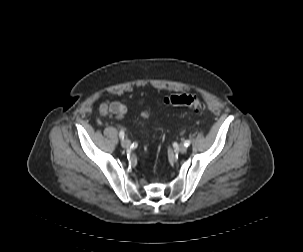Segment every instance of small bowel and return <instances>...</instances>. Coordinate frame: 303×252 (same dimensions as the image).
I'll list each match as a JSON object with an SVG mask.
<instances>
[{"mask_svg": "<svg viewBox=\"0 0 303 252\" xmlns=\"http://www.w3.org/2000/svg\"><path fill=\"white\" fill-rule=\"evenodd\" d=\"M103 115L112 114L117 118L124 117L128 112V104L125 101L106 100L100 106Z\"/></svg>", "mask_w": 303, "mask_h": 252, "instance_id": "1", "label": "small bowel"}]
</instances>
